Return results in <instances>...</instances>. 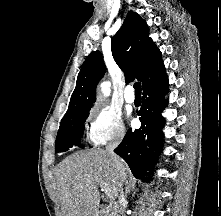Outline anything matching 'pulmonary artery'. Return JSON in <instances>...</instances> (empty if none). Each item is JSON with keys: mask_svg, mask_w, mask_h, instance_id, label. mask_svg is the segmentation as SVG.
<instances>
[{"mask_svg": "<svg viewBox=\"0 0 221 216\" xmlns=\"http://www.w3.org/2000/svg\"><path fill=\"white\" fill-rule=\"evenodd\" d=\"M125 100L128 103H133L135 101V94L133 92L132 86H128L125 90Z\"/></svg>", "mask_w": 221, "mask_h": 216, "instance_id": "pulmonary-artery-1", "label": "pulmonary artery"}]
</instances>
